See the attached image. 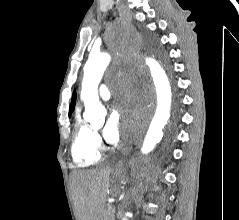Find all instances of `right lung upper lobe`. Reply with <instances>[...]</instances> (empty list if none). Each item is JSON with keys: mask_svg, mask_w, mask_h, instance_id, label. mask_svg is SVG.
<instances>
[{"mask_svg": "<svg viewBox=\"0 0 239 220\" xmlns=\"http://www.w3.org/2000/svg\"><path fill=\"white\" fill-rule=\"evenodd\" d=\"M75 100H76V93L74 92L72 95V101H71V106H70V111H69L70 115L75 107Z\"/></svg>", "mask_w": 239, "mask_h": 220, "instance_id": "1", "label": "right lung upper lobe"}]
</instances>
